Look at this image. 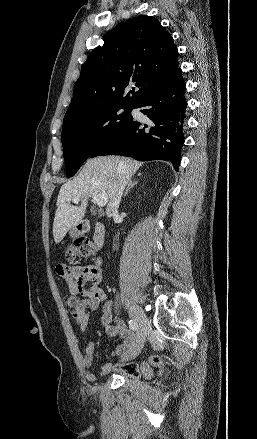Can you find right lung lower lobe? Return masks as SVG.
<instances>
[{"label": "right lung lower lobe", "instance_id": "right-lung-lower-lobe-1", "mask_svg": "<svg viewBox=\"0 0 257 439\" xmlns=\"http://www.w3.org/2000/svg\"><path fill=\"white\" fill-rule=\"evenodd\" d=\"M181 69L154 86L135 108L148 117L147 123L132 119L102 142L89 157L121 155L139 161H170L178 170L184 143L185 82Z\"/></svg>", "mask_w": 257, "mask_h": 439}]
</instances>
